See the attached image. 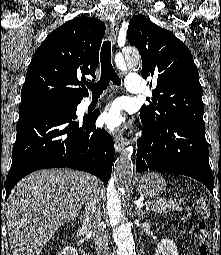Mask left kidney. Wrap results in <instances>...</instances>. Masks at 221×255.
Here are the masks:
<instances>
[{
	"instance_id": "5707ae66",
	"label": "left kidney",
	"mask_w": 221,
	"mask_h": 255,
	"mask_svg": "<svg viewBox=\"0 0 221 255\" xmlns=\"http://www.w3.org/2000/svg\"><path fill=\"white\" fill-rule=\"evenodd\" d=\"M156 255H178L177 246L173 240L162 239L157 245Z\"/></svg>"
}]
</instances>
